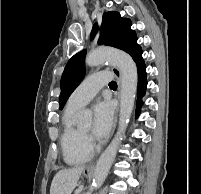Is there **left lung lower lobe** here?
Instances as JSON below:
<instances>
[{
	"label": "left lung lower lobe",
	"instance_id": "1",
	"mask_svg": "<svg viewBox=\"0 0 201 194\" xmlns=\"http://www.w3.org/2000/svg\"><path fill=\"white\" fill-rule=\"evenodd\" d=\"M131 57L136 62L138 68V99H137V115L139 114L140 107L142 105V97L144 96L147 80H146V66L142 58V49L139 45H136L130 52Z\"/></svg>",
	"mask_w": 201,
	"mask_h": 194
}]
</instances>
